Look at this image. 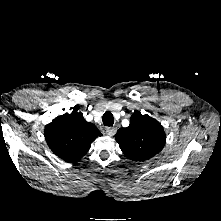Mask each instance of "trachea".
Listing matches in <instances>:
<instances>
[{
  "label": "trachea",
  "instance_id": "trachea-1",
  "mask_svg": "<svg viewBox=\"0 0 221 221\" xmlns=\"http://www.w3.org/2000/svg\"><path fill=\"white\" fill-rule=\"evenodd\" d=\"M102 120L105 126H112L114 123V117L111 112H105Z\"/></svg>",
  "mask_w": 221,
  "mask_h": 221
}]
</instances>
